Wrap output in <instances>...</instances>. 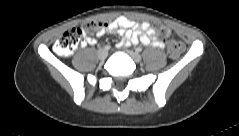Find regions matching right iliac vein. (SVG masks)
<instances>
[{
  "mask_svg": "<svg viewBox=\"0 0 239 136\" xmlns=\"http://www.w3.org/2000/svg\"><path fill=\"white\" fill-rule=\"evenodd\" d=\"M97 55L100 60H105L108 56V51L106 49H99Z\"/></svg>",
  "mask_w": 239,
  "mask_h": 136,
  "instance_id": "obj_1",
  "label": "right iliac vein"
}]
</instances>
